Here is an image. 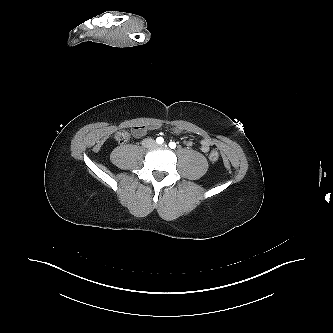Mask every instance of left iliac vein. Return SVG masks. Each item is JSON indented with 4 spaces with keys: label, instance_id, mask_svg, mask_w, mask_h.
Here are the masks:
<instances>
[{
    "label": "left iliac vein",
    "instance_id": "4c4485c4",
    "mask_svg": "<svg viewBox=\"0 0 333 333\" xmlns=\"http://www.w3.org/2000/svg\"><path fill=\"white\" fill-rule=\"evenodd\" d=\"M162 146H163V147H166V144H163Z\"/></svg>",
    "mask_w": 333,
    "mask_h": 333
}]
</instances>
